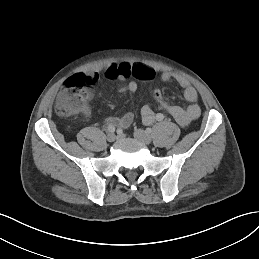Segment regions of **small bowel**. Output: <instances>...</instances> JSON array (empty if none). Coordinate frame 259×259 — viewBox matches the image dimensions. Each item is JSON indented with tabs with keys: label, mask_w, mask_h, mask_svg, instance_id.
<instances>
[{
	"label": "small bowel",
	"mask_w": 259,
	"mask_h": 259,
	"mask_svg": "<svg viewBox=\"0 0 259 259\" xmlns=\"http://www.w3.org/2000/svg\"><path fill=\"white\" fill-rule=\"evenodd\" d=\"M104 74L110 80H128L126 85L121 87L120 90L129 92H135L137 90V81H151L155 77L153 69L141 64L130 65L127 63L111 64L104 70ZM172 78H175L180 84L185 100L190 103L189 106L182 108L178 105L168 103L164 100L160 91L156 92L154 100L162 111L171 116L180 126L186 127L201 114V108L196 104L197 92L184 78L178 75L170 72H164L161 75V79L164 82H168ZM86 79L89 84H96L99 74L93 73L88 75ZM133 117L132 112H127L119 117H108L106 123L119 128H126L132 123ZM141 117L145 124H150L153 121L154 112L149 106H143Z\"/></svg>",
	"instance_id": "c3829d8e"
}]
</instances>
